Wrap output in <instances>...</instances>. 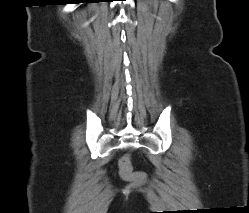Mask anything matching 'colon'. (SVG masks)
<instances>
[{"instance_id":"5ec220e1","label":"colon","mask_w":249,"mask_h":213,"mask_svg":"<svg viewBox=\"0 0 249 213\" xmlns=\"http://www.w3.org/2000/svg\"><path fill=\"white\" fill-rule=\"evenodd\" d=\"M120 175L125 179H141L143 177L142 173L133 172L131 167V158L126 155L122 157L119 161Z\"/></svg>"}]
</instances>
